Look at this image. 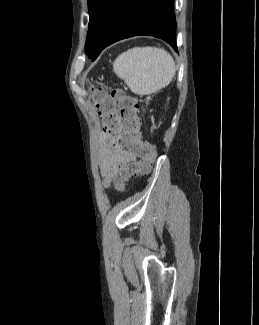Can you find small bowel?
<instances>
[{"mask_svg": "<svg viewBox=\"0 0 259 325\" xmlns=\"http://www.w3.org/2000/svg\"><path fill=\"white\" fill-rule=\"evenodd\" d=\"M121 128L113 129L105 138V146L100 157V169L104 183L109 186L117 171L136 163L137 155L124 146Z\"/></svg>", "mask_w": 259, "mask_h": 325, "instance_id": "c3829d8e", "label": "small bowel"}]
</instances>
